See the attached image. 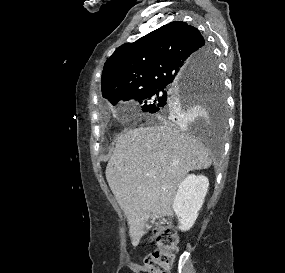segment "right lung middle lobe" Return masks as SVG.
Returning <instances> with one entry per match:
<instances>
[{
  "instance_id": "dd1d6c3e",
  "label": "right lung middle lobe",
  "mask_w": 285,
  "mask_h": 273,
  "mask_svg": "<svg viewBox=\"0 0 285 273\" xmlns=\"http://www.w3.org/2000/svg\"><path fill=\"white\" fill-rule=\"evenodd\" d=\"M205 60L207 66L189 78L188 86L179 88L176 84L159 85L141 91L126 100L137 101L144 112L156 113L158 116L170 119H176L193 107L207 106L216 114V129L221 133L225 127L226 99L223 80L210 49L205 55Z\"/></svg>"
}]
</instances>
